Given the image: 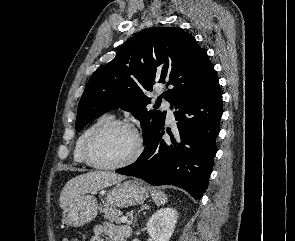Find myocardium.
<instances>
[{"label": "myocardium", "mask_w": 295, "mask_h": 241, "mask_svg": "<svg viewBox=\"0 0 295 241\" xmlns=\"http://www.w3.org/2000/svg\"><path fill=\"white\" fill-rule=\"evenodd\" d=\"M116 127L126 128L134 134L136 139V149L134 153L127 160L123 162L116 163V164H106V163L99 162L94 157V154H93L95 143L104 133ZM143 151H144V140L141 134L139 133V131L137 130V128L133 124L127 121L113 119L103 123L91 133V135L87 139L84 146V158L86 163L93 168L101 169V170H118L135 163L141 157Z\"/></svg>", "instance_id": "f54148a6"}]
</instances>
